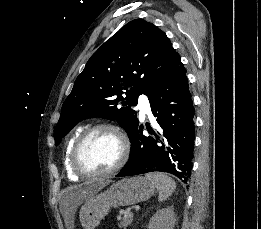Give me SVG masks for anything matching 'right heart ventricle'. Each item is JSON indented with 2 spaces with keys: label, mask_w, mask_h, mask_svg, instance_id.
Masks as SVG:
<instances>
[{
  "label": "right heart ventricle",
  "mask_w": 261,
  "mask_h": 229,
  "mask_svg": "<svg viewBox=\"0 0 261 229\" xmlns=\"http://www.w3.org/2000/svg\"><path fill=\"white\" fill-rule=\"evenodd\" d=\"M83 132L82 128L77 129L67 140L65 149H64V166L68 172V174L73 176H79V174L72 168L70 164V157H71V148L76 141V139L80 136Z\"/></svg>",
  "instance_id": "1"
}]
</instances>
